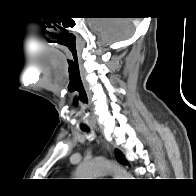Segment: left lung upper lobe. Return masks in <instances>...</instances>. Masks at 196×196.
Listing matches in <instances>:
<instances>
[{
  "mask_svg": "<svg viewBox=\"0 0 196 196\" xmlns=\"http://www.w3.org/2000/svg\"><path fill=\"white\" fill-rule=\"evenodd\" d=\"M116 156L117 159L119 160V162L123 163V164H127V161L125 160L124 156L122 155V153L120 151H116Z\"/></svg>",
  "mask_w": 196,
  "mask_h": 196,
  "instance_id": "5c2ea615",
  "label": "left lung upper lobe"
}]
</instances>
